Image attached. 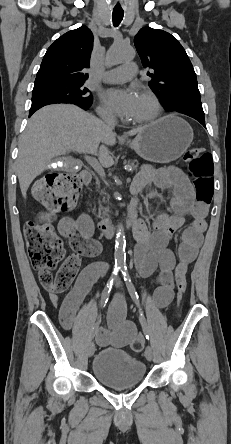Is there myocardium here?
Here are the masks:
<instances>
[{"label": "myocardium", "mask_w": 231, "mask_h": 444, "mask_svg": "<svg viewBox=\"0 0 231 444\" xmlns=\"http://www.w3.org/2000/svg\"><path fill=\"white\" fill-rule=\"evenodd\" d=\"M139 95L147 98L151 102L153 106V111L151 114L145 117L131 119L130 122L133 124H147L156 120L162 112V106L158 97L149 89H141L139 91Z\"/></svg>", "instance_id": "f54148a6"}]
</instances>
